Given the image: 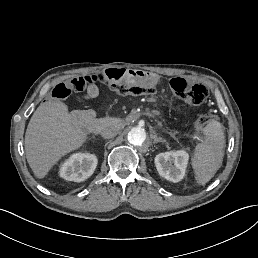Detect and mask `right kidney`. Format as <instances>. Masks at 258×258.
<instances>
[{
    "mask_svg": "<svg viewBox=\"0 0 258 258\" xmlns=\"http://www.w3.org/2000/svg\"><path fill=\"white\" fill-rule=\"evenodd\" d=\"M97 163L98 160L94 154L75 153L62 164L60 176L68 181H84L94 173Z\"/></svg>",
    "mask_w": 258,
    "mask_h": 258,
    "instance_id": "obj_1",
    "label": "right kidney"
}]
</instances>
